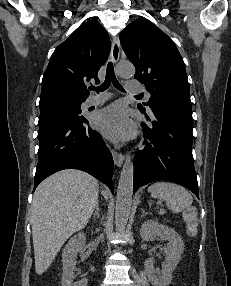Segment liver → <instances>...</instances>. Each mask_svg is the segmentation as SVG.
Masks as SVG:
<instances>
[{
  "instance_id": "liver-1",
  "label": "liver",
  "mask_w": 231,
  "mask_h": 286,
  "mask_svg": "<svg viewBox=\"0 0 231 286\" xmlns=\"http://www.w3.org/2000/svg\"><path fill=\"white\" fill-rule=\"evenodd\" d=\"M99 185L80 170L59 171L39 184L31 207L36 273L51 265L65 241L83 229L98 203ZM108 198V190L102 189Z\"/></svg>"
}]
</instances>
